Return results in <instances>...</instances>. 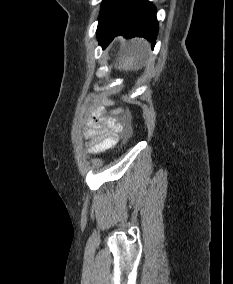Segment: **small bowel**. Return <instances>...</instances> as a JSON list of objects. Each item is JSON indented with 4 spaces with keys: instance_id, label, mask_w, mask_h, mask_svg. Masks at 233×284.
Instances as JSON below:
<instances>
[{
    "instance_id": "c3829d8e",
    "label": "small bowel",
    "mask_w": 233,
    "mask_h": 284,
    "mask_svg": "<svg viewBox=\"0 0 233 284\" xmlns=\"http://www.w3.org/2000/svg\"><path fill=\"white\" fill-rule=\"evenodd\" d=\"M129 132L130 118L127 115H123L119 119L108 117L102 122L90 119L85 130L90 153H100L112 148L121 135Z\"/></svg>"
}]
</instances>
